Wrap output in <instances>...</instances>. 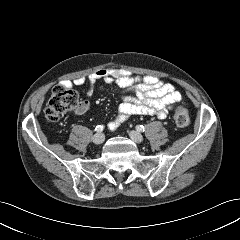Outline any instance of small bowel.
<instances>
[{
    "instance_id": "c3829d8e",
    "label": "small bowel",
    "mask_w": 240,
    "mask_h": 240,
    "mask_svg": "<svg viewBox=\"0 0 240 240\" xmlns=\"http://www.w3.org/2000/svg\"><path fill=\"white\" fill-rule=\"evenodd\" d=\"M98 81L116 85L121 93L122 102L118 113L109 123L111 130L137 115H156L164 119L182 98L180 92L170 83L163 82L155 76L140 77L119 68H102L87 78L65 80L63 85L70 87L87 84L86 98H90ZM87 107L88 101L85 100L78 112H84Z\"/></svg>"
}]
</instances>
